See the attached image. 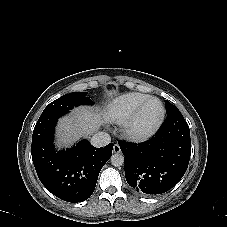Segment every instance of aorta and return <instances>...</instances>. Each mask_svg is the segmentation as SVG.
Returning <instances> with one entry per match:
<instances>
[{"label":"aorta","instance_id":"obj_1","mask_svg":"<svg viewBox=\"0 0 227 227\" xmlns=\"http://www.w3.org/2000/svg\"><path fill=\"white\" fill-rule=\"evenodd\" d=\"M111 164L114 167H120L124 164V156L121 153H115L110 158Z\"/></svg>","mask_w":227,"mask_h":227}]
</instances>
